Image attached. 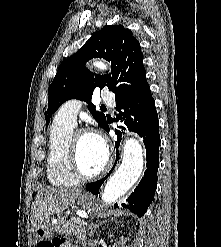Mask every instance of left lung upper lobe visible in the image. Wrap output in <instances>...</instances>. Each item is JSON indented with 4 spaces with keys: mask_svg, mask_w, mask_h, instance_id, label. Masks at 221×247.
<instances>
[{
    "mask_svg": "<svg viewBox=\"0 0 221 247\" xmlns=\"http://www.w3.org/2000/svg\"><path fill=\"white\" fill-rule=\"evenodd\" d=\"M111 61V73L98 75L85 63L92 58ZM107 86L115 93L117 102L150 92L140 44L131 30L123 25H110L95 33L74 55L63 61L49 86L46 124L52 114L69 99L86 101L98 124L104 128L108 118L91 103L96 87Z\"/></svg>",
    "mask_w": 221,
    "mask_h": 247,
    "instance_id": "obj_1",
    "label": "left lung upper lobe"
}]
</instances>
